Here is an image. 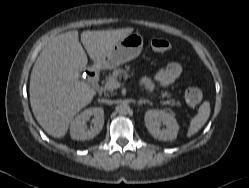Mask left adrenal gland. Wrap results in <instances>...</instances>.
<instances>
[{"instance_id":"a2214340","label":"left adrenal gland","mask_w":249,"mask_h":188,"mask_svg":"<svg viewBox=\"0 0 249 188\" xmlns=\"http://www.w3.org/2000/svg\"><path fill=\"white\" fill-rule=\"evenodd\" d=\"M143 103H150V101L147 100V99H140V100L138 101V105H142Z\"/></svg>"}]
</instances>
